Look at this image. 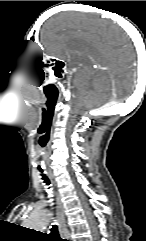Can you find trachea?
<instances>
[{"label": "trachea", "instance_id": "obj_1", "mask_svg": "<svg viewBox=\"0 0 146 241\" xmlns=\"http://www.w3.org/2000/svg\"><path fill=\"white\" fill-rule=\"evenodd\" d=\"M40 172H41V176H42V179H43L44 183L46 185H49L50 182H49L47 176L45 174H43L42 170H40ZM50 230H51L50 236H51L52 241H66L65 239L60 238L58 228H57L56 225H53Z\"/></svg>", "mask_w": 146, "mask_h": 241}]
</instances>
